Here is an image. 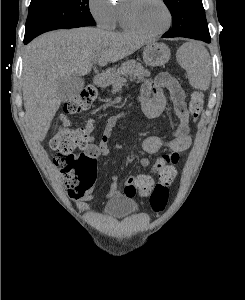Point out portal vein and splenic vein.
<instances>
[{"mask_svg":"<svg viewBox=\"0 0 245 300\" xmlns=\"http://www.w3.org/2000/svg\"><path fill=\"white\" fill-rule=\"evenodd\" d=\"M97 60H98V58H94L92 61H93V62H96Z\"/></svg>","mask_w":245,"mask_h":300,"instance_id":"18ae733b","label":"portal vein and splenic vein"}]
</instances>
